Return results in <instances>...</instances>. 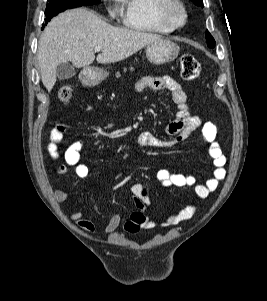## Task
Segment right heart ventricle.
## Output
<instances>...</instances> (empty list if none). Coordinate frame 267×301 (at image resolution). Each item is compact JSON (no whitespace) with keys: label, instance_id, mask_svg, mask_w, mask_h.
Wrapping results in <instances>:
<instances>
[{"label":"right heart ventricle","instance_id":"e07e8e85","mask_svg":"<svg viewBox=\"0 0 267 301\" xmlns=\"http://www.w3.org/2000/svg\"><path fill=\"white\" fill-rule=\"evenodd\" d=\"M123 25L141 32L170 33L175 27L161 15L164 0H119Z\"/></svg>","mask_w":267,"mask_h":301}]
</instances>
